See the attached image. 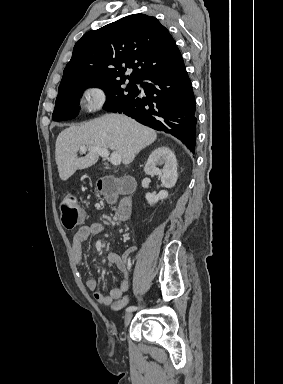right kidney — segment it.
I'll return each instance as SVG.
<instances>
[{
	"instance_id": "right-kidney-1",
	"label": "right kidney",
	"mask_w": 283,
	"mask_h": 384,
	"mask_svg": "<svg viewBox=\"0 0 283 384\" xmlns=\"http://www.w3.org/2000/svg\"><path fill=\"white\" fill-rule=\"evenodd\" d=\"M156 166H164L163 170H159ZM145 174L148 176H159L164 188H173L177 182V160L174 152H171L166 146L156 148L150 154L147 164L144 168ZM148 204H156L158 200L168 198V192L161 190L159 194H146Z\"/></svg>"
}]
</instances>
